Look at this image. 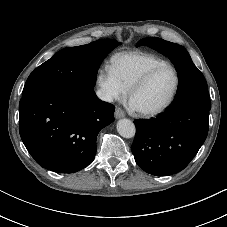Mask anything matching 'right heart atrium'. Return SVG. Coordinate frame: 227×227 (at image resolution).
<instances>
[{"label": "right heart atrium", "mask_w": 227, "mask_h": 227, "mask_svg": "<svg viewBox=\"0 0 227 227\" xmlns=\"http://www.w3.org/2000/svg\"><path fill=\"white\" fill-rule=\"evenodd\" d=\"M96 82L99 87L101 98L106 102L120 100L126 94V89L109 65H105L99 69L96 76Z\"/></svg>", "instance_id": "obj_1"}]
</instances>
